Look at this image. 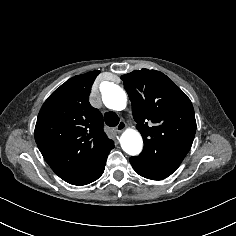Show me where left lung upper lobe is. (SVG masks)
Returning a JSON list of instances; mask_svg holds the SVG:
<instances>
[{"label":"left lung upper lobe","mask_w":236,"mask_h":236,"mask_svg":"<svg viewBox=\"0 0 236 236\" xmlns=\"http://www.w3.org/2000/svg\"><path fill=\"white\" fill-rule=\"evenodd\" d=\"M144 148L139 157L180 165L196 132L190 99L165 74L141 69L121 76Z\"/></svg>","instance_id":"obj_1"}]
</instances>
